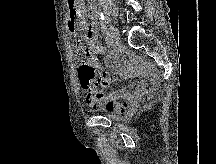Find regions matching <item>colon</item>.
<instances>
[{"instance_id":"1","label":"colon","mask_w":216,"mask_h":164,"mask_svg":"<svg viewBox=\"0 0 216 164\" xmlns=\"http://www.w3.org/2000/svg\"><path fill=\"white\" fill-rule=\"evenodd\" d=\"M76 47L80 48L81 45L76 43ZM78 73L81 86L85 91L95 90L102 83L103 73L89 59L82 61Z\"/></svg>"}]
</instances>
